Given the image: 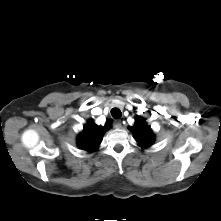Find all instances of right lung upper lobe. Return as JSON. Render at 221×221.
<instances>
[{"instance_id":"1","label":"right lung upper lobe","mask_w":221,"mask_h":221,"mask_svg":"<svg viewBox=\"0 0 221 221\" xmlns=\"http://www.w3.org/2000/svg\"><path fill=\"white\" fill-rule=\"evenodd\" d=\"M110 125L98 126L93 121H89L82 133L78 136L77 143L79 148L86 151H94L100 145L104 133Z\"/></svg>"}]
</instances>
